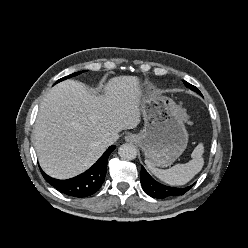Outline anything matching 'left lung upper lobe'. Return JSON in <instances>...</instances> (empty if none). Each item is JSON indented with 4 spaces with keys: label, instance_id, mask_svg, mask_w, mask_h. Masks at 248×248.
Returning a JSON list of instances; mask_svg holds the SVG:
<instances>
[{
    "label": "left lung upper lobe",
    "instance_id": "obj_1",
    "mask_svg": "<svg viewBox=\"0 0 248 248\" xmlns=\"http://www.w3.org/2000/svg\"><path fill=\"white\" fill-rule=\"evenodd\" d=\"M183 83L185 84V86L187 88H190L191 90H193V91L197 92L198 94L202 95L201 92L195 86L191 85L190 83H188V82H186L184 80H183Z\"/></svg>",
    "mask_w": 248,
    "mask_h": 248
}]
</instances>
